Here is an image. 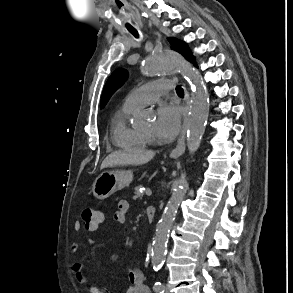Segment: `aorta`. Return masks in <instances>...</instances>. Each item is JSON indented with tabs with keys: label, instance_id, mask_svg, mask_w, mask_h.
Returning a JSON list of instances; mask_svg holds the SVG:
<instances>
[{
	"label": "aorta",
	"instance_id": "762f6f07",
	"mask_svg": "<svg viewBox=\"0 0 293 293\" xmlns=\"http://www.w3.org/2000/svg\"><path fill=\"white\" fill-rule=\"evenodd\" d=\"M142 69L147 76L180 72L189 82L192 94L187 126V147L189 153L193 155L200 146L209 114V96L200 76L180 54L172 50L153 52L145 58ZM188 186L187 179L180 180L156 226L152 246L154 269L160 268L164 262L169 232Z\"/></svg>",
	"mask_w": 293,
	"mask_h": 293
}]
</instances>
